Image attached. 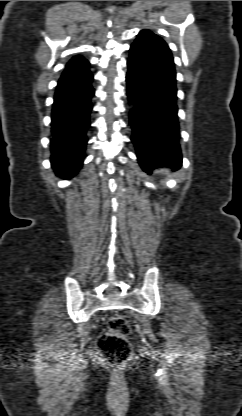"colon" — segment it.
Segmentation results:
<instances>
[{"mask_svg":"<svg viewBox=\"0 0 242 416\" xmlns=\"http://www.w3.org/2000/svg\"><path fill=\"white\" fill-rule=\"evenodd\" d=\"M131 326L122 315H114L108 322V331L100 335L97 348L112 364L120 365L130 357L132 347L128 340Z\"/></svg>","mask_w":242,"mask_h":416,"instance_id":"colon-1","label":"colon"}]
</instances>
